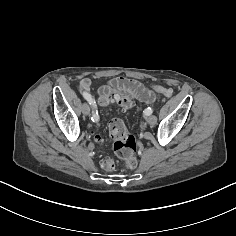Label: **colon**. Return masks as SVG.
<instances>
[{
    "instance_id": "1",
    "label": "colon",
    "mask_w": 236,
    "mask_h": 236,
    "mask_svg": "<svg viewBox=\"0 0 236 236\" xmlns=\"http://www.w3.org/2000/svg\"><path fill=\"white\" fill-rule=\"evenodd\" d=\"M152 90L168 99L173 97V91L170 88L154 85L152 86ZM99 104L101 106L118 105L124 109H128L132 106V100L124 93L111 91L104 93L99 97ZM108 127L116 155L124 161L126 169H134L137 166V159L135 157L136 141L134 136L128 132L121 119H112ZM96 139L99 143L102 142L100 137L97 136ZM105 167L107 169H112V162L107 161Z\"/></svg>"
}]
</instances>
